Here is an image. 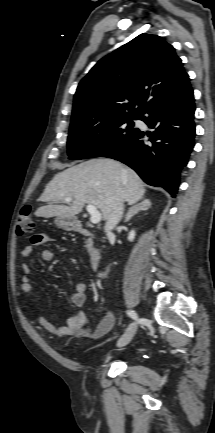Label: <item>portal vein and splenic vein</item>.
I'll use <instances>...</instances> for the list:
<instances>
[{
  "instance_id": "obj_1",
  "label": "portal vein and splenic vein",
  "mask_w": 215,
  "mask_h": 433,
  "mask_svg": "<svg viewBox=\"0 0 215 433\" xmlns=\"http://www.w3.org/2000/svg\"><path fill=\"white\" fill-rule=\"evenodd\" d=\"M64 201L66 203L72 202L71 197L64 198ZM86 209L88 213L90 214V221L92 224H98L101 221V213L97 210V208L94 205L88 204L86 206Z\"/></svg>"
}]
</instances>
